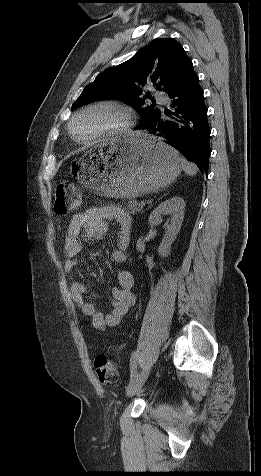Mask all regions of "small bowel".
I'll list each match as a JSON object with an SVG mask.
<instances>
[{
    "label": "small bowel",
    "instance_id": "c3829d8e",
    "mask_svg": "<svg viewBox=\"0 0 261 476\" xmlns=\"http://www.w3.org/2000/svg\"><path fill=\"white\" fill-rule=\"evenodd\" d=\"M109 222H114L118 226L111 259L118 263L125 261L130 240L131 218L119 206L93 207L85 212L75 214L68 226L64 245L63 266L65 272L71 276V298L79 305L83 314L91 319L92 326L101 331L117 326L129 308L134 305L132 274L128 270L118 271L117 285L111 289V309L108 313L99 311L94 304L85 300L86 286L81 281L74 279L72 274L79 263L83 237H104L109 230Z\"/></svg>",
    "mask_w": 261,
    "mask_h": 476
}]
</instances>
